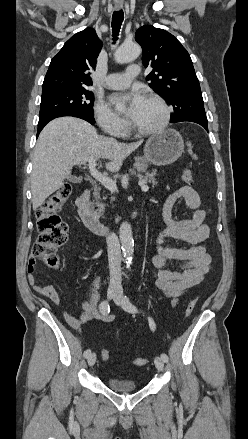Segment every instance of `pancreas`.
<instances>
[{"mask_svg":"<svg viewBox=\"0 0 248 439\" xmlns=\"http://www.w3.org/2000/svg\"><path fill=\"white\" fill-rule=\"evenodd\" d=\"M155 175H156V170H152L151 172L146 173L145 176H140V178L142 179L141 181H143V182H147L148 181L152 185H156L157 181H156V179L154 177ZM94 197L96 199V203L98 205H100L101 207H104V204L101 201L105 200L106 197H103V198L100 197V188H96L94 190Z\"/></svg>","mask_w":248,"mask_h":439,"instance_id":"obj_1","label":"pancreas"}]
</instances>
